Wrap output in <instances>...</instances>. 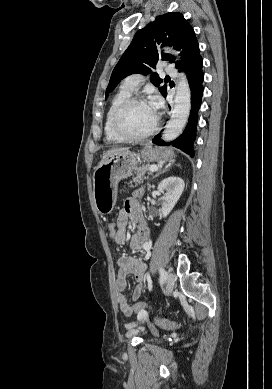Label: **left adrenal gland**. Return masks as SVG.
<instances>
[{"label": "left adrenal gland", "mask_w": 272, "mask_h": 389, "mask_svg": "<svg viewBox=\"0 0 272 389\" xmlns=\"http://www.w3.org/2000/svg\"><path fill=\"white\" fill-rule=\"evenodd\" d=\"M169 168H170V165L166 166L165 169H163L162 171H159L153 178L158 177L160 174L164 173V172L167 171Z\"/></svg>", "instance_id": "left-adrenal-gland-1"}]
</instances>
